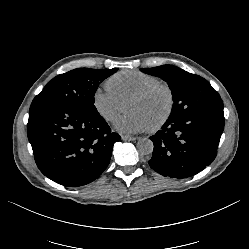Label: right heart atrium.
<instances>
[{"label":"right heart atrium","mask_w":249,"mask_h":249,"mask_svg":"<svg viewBox=\"0 0 249 249\" xmlns=\"http://www.w3.org/2000/svg\"><path fill=\"white\" fill-rule=\"evenodd\" d=\"M92 104L97 114L107 122L112 121L123 106L122 100L107 87L94 90Z\"/></svg>","instance_id":"right-heart-atrium-1"}]
</instances>
